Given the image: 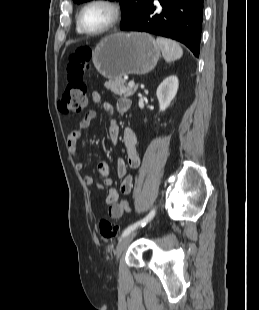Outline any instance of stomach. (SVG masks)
Returning <instances> with one entry per match:
<instances>
[{
	"label": "stomach",
	"mask_w": 259,
	"mask_h": 310,
	"mask_svg": "<svg viewBox=\"0 0 259 310\" xmlns=\"http://www.w3.org/2000/svg\"><path fill=\"white\" fill-rule=\"evenodd\" d=\"M154 38L146 33H114L95 47L92 61L108 79L128 74H145L156 66L161 53Z\"/></svg>",
	"instance_id": "0dacf381"
}]
</instances>
